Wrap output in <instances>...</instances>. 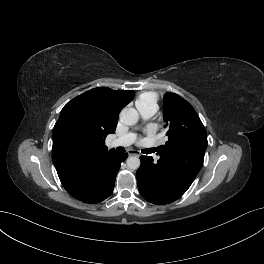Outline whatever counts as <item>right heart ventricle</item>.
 I'll use <instances>...</instances> for the list:
<instances>
[{
  "label": "right heart ventricle",
  "instance_id": "e07e8e85",
  "mask_svg": "<svg viewBox=\"0 0 264 264\" xmlns=\"http://www.w3.org/2000/svg\"><path fill=\"white\" fill-rule=\"evenodd\" d=\"M158 97L153 92H143L136 99V107H152L155 110L157 109Z\"/></svg>",
  "mask_w": 264,
  "mask_h": 264
}]
</instances>
